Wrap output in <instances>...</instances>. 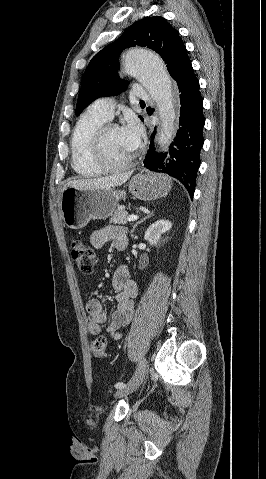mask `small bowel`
Returning a JSON list of instances; mask_svg holds the SVG:
<instances>
[{
    "label": "small bowel",
    "mask_w": 266,
    "mask_h": 479,
    "mask_svg": "<svg viewBox=\"0 0 266 479\" xmlns=\"http://www.w3.org/2000/svg\"><path fill=\"white\" fill-rule=\"evenodd\" d=\"M109 241L117 250H124L128 245L126 228L123 226H106L95 230L90 236L91 244L96 248L104 247ZM112 287L115 293L116 309L107 316L101 301L91 299L87 302L89 331L93 335L105 332L114 340H120L135 312V299L138 286L130 276L128 266H119L113 274ZM108 325L104 328V324Z\"/></svg>",
    "instance_id": "1"
}]
</instances>
